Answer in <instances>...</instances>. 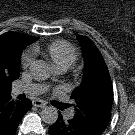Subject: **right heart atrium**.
Masks as SVG:
<instances>
[{"mask_svg":"<svg viewBox=\"0 0 135 135\" xmlns=\"http://www.w3.org/2000/svg\"><path fill=\"white\" fill-rule=\"evenodd\" d=\"M33 62V53L30 50L25 51L21 56V65L28 68Z\"/></svg>","mask_w":135,"mask_h":135,"instance_id":"1","label":"right heart atrium"}]
</instances>
